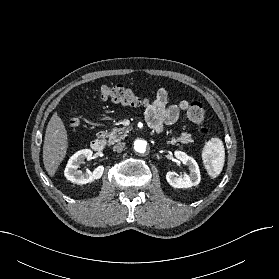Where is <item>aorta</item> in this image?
<instances>
[{
  "mask_svg": "<svg viewBox=\"0 0 279 279\" xmlns=\"http://www.w3.org/2000/svg\"><path fill=\"white\" fill-rule=\"evenodd\" d=\"M147 142L145 140L138 139L134 142V149L138 153H144L146 151Z\"/></svg>",
  "mask_w": 279,
  "mask_h": 279,
  "instance_id": "aorta-1",
  "label": "aorta"
}]
</instances>
